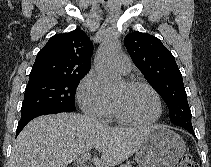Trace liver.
<instances>
[{
  "instance_id": "liver-1",
  "label": "liver",
  "mask_w": 211,
  "mask_h": 167,
  "mask_svg": "<svg viewBox=\"0 0 211 167\" xmlns=\"http://www.w3.org/2000/svg\"><path fill=\"white\" fill-rule=\"evenodd\" d=\"M155 126L113 128L77 113L35 118L17 137L9 167H66L95 148L96 167L116 166L140 147Z\"/></svg>"
}]
</instances>
